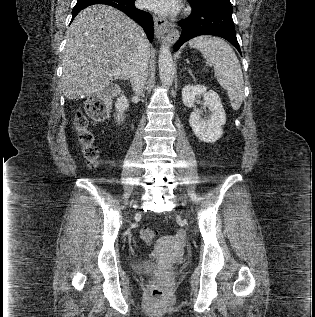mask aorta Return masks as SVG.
Instances as JSON below:
<instances>
[{"instance_id": "aorta-1", "label": "aorta", "mask_w": 315, "mask_h": 317, "mask_svg": "<svg viewBox=\"0 0 315 317\" xmlns=\"http://www.w3.org/2000/svg\"><path fill=\"white\" fill-rule=\"evenodd\" d=\"M159 74L161 82L171 86L174 78V65L171 51L167 45H162L158 58Z\"/></svg>"}]
</instances>
